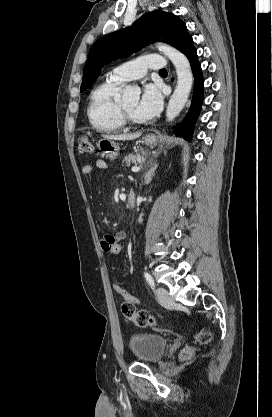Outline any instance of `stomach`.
Instances as JSON below:
<instances>
[{
  "mask_svg": "<svg viewBox=\"0 0 272 417\" xmlns=\"http://www.w3.org/2000/svg\"><path fill=\"white\" fill-rule=\"evenodd\" d=\"M144 142L150 147H154L158 143V139L155 135H148L144 137ZM97 147L102 151L103 156L109 160H114L118 156L119 145L114 140L101 139L99 140Z\"/></svg>",
  "mask_w": 272,
  "mask_h": 417,
  "instance_id": "1",
  "label": "stomach"
}]
</instances>
